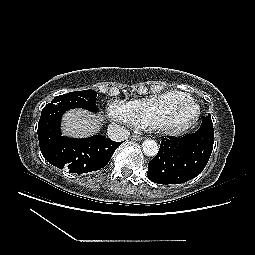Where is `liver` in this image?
I'll return each instance as SVG.
<instances>
[{
  "instance_id": "obj_1",
  "label": "liver",
  "mask_w": 255,
  "mask_h": 255,
  "mask_svg": "<svg viewBox=\"0 0 255 255\" xmlns=\"http://www.w3.org/2000/svg\"><path fill=\"white\" fill-rule=\"evenodd\" d=\"M101 120L100 116L83 109L70 110L63 117V134L74 138L90 137L98 133Z\"/></svg>"
}]
</instances>
